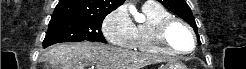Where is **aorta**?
I'll return each instance as SVG.
<instances>
[{"label": "aorta", "mask_w": 246, "mask_h": 69, "mask_svg": "<svg viewBox=\"0 0 246 69\" xmlns=\"http://www.w3.org/2000/svg\"><path fill=\"white\" fill-rule=\"evenodd\" d=\"M129 11L135 17V20L137 22H141L144 20V16L142 14H139L133 5L129 7Z\"/></svg>", "instance_id": "aorta-1"}]
</instances>
